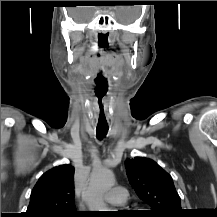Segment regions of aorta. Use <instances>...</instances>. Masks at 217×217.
<instances>
[{"label": "aorta", "instance_id": "1", "mask_svg": "<svg viewBox=\"0 0 217 217\" xmlns=\"http://www.w3.org/2000/svg\"><path fill=\"white\" fill-rule=\"evenodd\" d=\"M114 183V175L110 169L101 167L93 170L84 194L90 211H110L103 201V196Z\"/></svg>", "mask_w": 217, "mask_h": 217}]
</instances>
